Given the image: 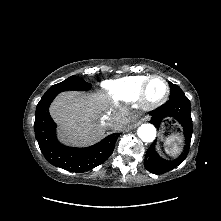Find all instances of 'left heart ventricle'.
<instances>
[{"instance_id":"obj_1","label":"left heart ventricle","mask_w":221,"mask_h":221,"mask_svg":"<svg viewBox=\"0 0 221 221\" xmlns=\"http://www.w3.org/2000/svg\"><path fill=\"white\" fill-rule=\"evenodd\" d=\"M164 94H165L164 83L159 79L153 80L148 88V92H147L148 98L150 100H158Z\"/></svg>"}]
</instances>
